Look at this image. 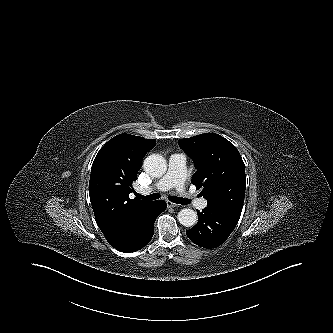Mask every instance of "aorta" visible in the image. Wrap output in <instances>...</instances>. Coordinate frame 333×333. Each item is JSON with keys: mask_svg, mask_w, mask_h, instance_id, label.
I'll return each mask as SVG.
<instances>
[{"mask_svg": "<svg viewBox=\"0 0 333 333\" xmlns=\"http://www.w3.org/2000/svg\"><path fill=\"white\" fill-rule=\"evenodd\" d=\"M143 168L152 177H161L167 170V163L164 157L159 154L148 156L143 162ZM178 221L185 227H191L197 222V214L194 210L184 208L177 215Z\"/></svg>", "mask_w": 333, "mask_h": 333, "instance_id": "762f6f07", "label": "aorta"}]
</instances>
